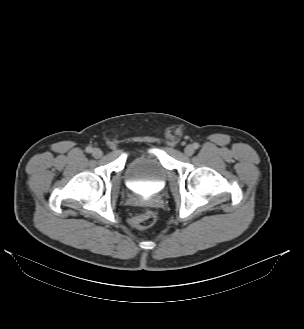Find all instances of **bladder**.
<instances>
[{
  "label": "bladder",
  "mask_w": 304,
  "mask_h": 329,
  "mask_svg": "<svg viewBox=\"0 0 304 329\" xmlns=\"http://www.w3.org/2000/svg\"><path fill=\"white\" fill-rule=\"evenodd\" d=\"M124 176L132 186L141 183L162 186L166 181V170L157 154L146 153L133 156L127 161Z\"/></svg>",
  "instance_id": "1"
}]
</instances>
